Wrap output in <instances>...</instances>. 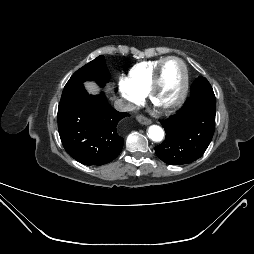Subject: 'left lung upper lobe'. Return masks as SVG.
<instances>
[{
  "label": "left lung upper lobe",
  "mask_w": 254,
  "mask_h": 254,
  "mask_svg": "<svg viewBox=\"0 0 254 254\" xmlns=\"http://www.w3.org/2000/svg\"><path fill=\"white\" fill-rule=\"evenodd\" d=\"M190 99H215L213 89L208 80L199 76L191 85Z\"/></svg>",
  "instance_id": "1"
}]
</instances>
